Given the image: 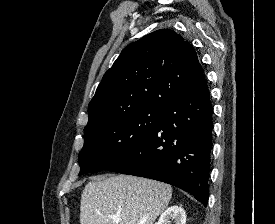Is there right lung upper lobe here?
<instances>
[{"label":"right lung upper lobe","instance_id":"cb5924a9","mask_svg":"<svg viewBox=\"0 0 275 224\" xmlns=\"http://www.w3.org/2000/svg\"><path fill=\"white\" fill-rule=\"evenodd\" d=\"M203 76L194 47L170 29L123 49L88 105V128L143 108L166 109ZM84 128V129H85Z\"/></svg>","mask_w":275,"mask_h":224}]
</instances>
